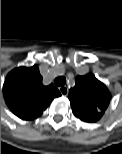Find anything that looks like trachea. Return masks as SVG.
I'll use <instances>...</instances> for the list:
<instances>
[{
  "label": "trachea",
  "mask_w": 122,
  "mask_h": 154,
  "mask_svg": "<svg viewBox=\"0 0 122 154\" xmlns=\"http://www.w3.org/2000/svg\"><path fill=\"white\" fill-rule=\"evenodd\" d=\"M56 86H64L66 83V78L64 76L57 77L54 80Z\"/></svg>",
  "instance_id": "obj_1"
}]
</instances>
